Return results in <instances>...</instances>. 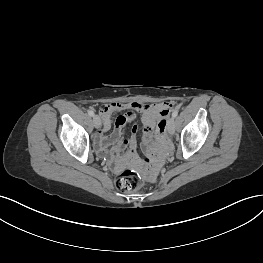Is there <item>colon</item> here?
I'll use <instances>...</instances> for the list:
<instances>
[{
  "instance_id": "5ec220e1",
  "label": "colon",
  "mask_w": 263,
  "mask_h": 263,
  "mask_svg": "<svg viewBox=\"0 0 263 263\" xmlns=\"http://www.w3.org/2000/svg\"><path fill=\"white\" fill-rule=\"evenodd\" d=\"M165 106L162 103H156L155 105L151 102H144L138 104L136 101H131L129 104H116L110 103L109 105L100 104L95 108L98 114H112L116 113H130L136 114L139 112L150 111L162 112ZM167 128V125H166ZM116 187L122 192L136 191L141 187L142 178L139 172L126 168L119 173L116 178Z\"/></svg>"
}]
</instances>
